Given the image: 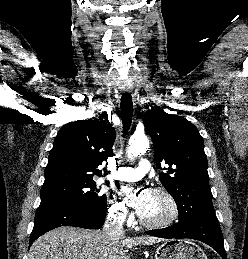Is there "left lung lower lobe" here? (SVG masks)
Returning a JSON list of instances; mask_svg holds the SVG:
<instances>
[{
    "label": "left lung lower lobe",
    "instance_id": "obj_1",
    "mask_svg": "<svg viewBox=\"0 0 248 259\" xmlns=\"http://www.w3.org/2000/svg\"><path fill=\"white\" fill-rule=\"evenodd\" d=\"M147 234L160 238L196 239L214 248L222 259H227L222 232L215 213L191 217L167 228L151 230Z\"/></svg>",
    "mask_w": 248,
    "mask_h": 259
}]
</instances>
